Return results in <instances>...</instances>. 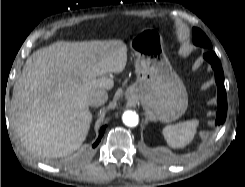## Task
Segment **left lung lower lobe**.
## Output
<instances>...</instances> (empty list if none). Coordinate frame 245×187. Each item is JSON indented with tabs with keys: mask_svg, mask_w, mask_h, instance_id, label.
<instances>
[{
	"mask_svg": "<svg viewBox=\"0 0 245 187\" xmlns=\"http://www.w3.org/2000/svg\"><path fill=\"white\" fill-rule=\"evenodd\" d=\"M204 59L207 60L215 71V80L218 88V110L216 117V125L224 123L227 115V96L224 86V73L222 70L221 63L213 51H209L204 54Z\"/></svg>",
	"mask_w": 245,
	"mask_h": 187,
	"instance_id": "0a47b994",
	"label": "left lung lower lobe"
}]
</instances>
